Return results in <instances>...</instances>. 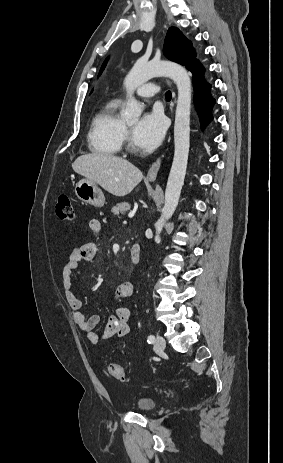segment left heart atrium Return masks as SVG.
Listing matches in <instances>:
<instances>
[{"label":"left heart atrium","mask_w":283,"mask_h":463,"mask_svg":"<svg viewBox=\"0 0 283 463\" xmlns=\"http://www.w3.org/2000/svg\"><path fill=\"white\" fill-rule=\"evenodd\" d=\"M166 121L158 111L145 113L133 129L134 143L142 149H155L163 140Z\"/></svg>","instance_id":"1"}]
</instances>
